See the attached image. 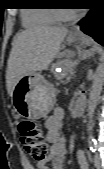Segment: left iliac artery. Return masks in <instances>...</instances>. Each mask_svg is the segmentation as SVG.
<instances>
[{
  "label": "left iliac artery",
  "instance_id": "44dca946",
  "mask_svg": "<svg viewBox=\"0 0 104 169\" xmlns=\"http://www.w3.org/2000/svg\"><path fill=\"white\" fill-rule=\"evenodd\" d=\"M88 145H89V148L90 150L95 153L96 150H97V141L95 139H89L88 140Z\"/></svg>",
  "mask_w": 104,
  "mask_h": 169
}]
</instances>
